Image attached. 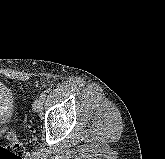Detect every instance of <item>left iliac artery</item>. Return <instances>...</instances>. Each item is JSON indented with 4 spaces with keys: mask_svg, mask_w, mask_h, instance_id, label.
<instances>
[{
    "mask_svg": "<svg viewBox=\"0 0 165 159\" xmlns=\"http://www.w3.org/2000/svg\"><path fill=\"white\" fill-rule=\"evenodd\" d=\"M46 96H47V91H44V92L41 93L40 98L42 100H45L46 99Z\"/></svg>",
    "mask_w": 165,
    "mask_h": 159,
    "instance_id": "44dca946",
    "label": "left iliac artery"
}]
</instances>
